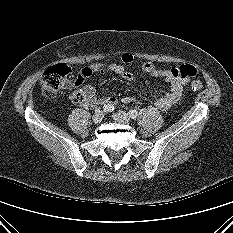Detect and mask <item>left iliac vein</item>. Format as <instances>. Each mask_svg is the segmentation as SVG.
I'll return each mask as SVG.
<instances>
[{"label":"left iliac vein","instance_id":"4c4485c4","mask_svg":"<svg viewBox=\"0 0 233 233\" xmlns=\"http://www.w3.org/2000/svg\"><path fill=\"white\" fill-rule=\"evenodd\" d=\"M113 119L123 124H130V118L126 112L119 111L112 115Z\"/></svg>","mask_w":233,"mask_h":233}]
</instances>
